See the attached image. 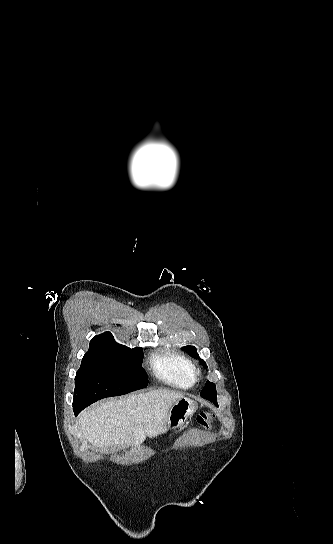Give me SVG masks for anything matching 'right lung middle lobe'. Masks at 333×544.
Instances as JSON below:
<instances>
[{
	"label": "right lung middle lobe",
	"instance_id": "dd1d6c3e",
	"mask_svg": "<svg viewBox=\"0 0 333 544\" xmlns=\"http://www.w3.org/2000/svg\"><path fill=\"white\" fill-rule=\"evenodd\" d=\"M142 360V348L118 343L104 353H86L75 377L73 407L84 409L102 398L145 388L148 378Z\"/></svg>",
	"mask_w": 333,
	"mask_h": 544
}]
</instances>
